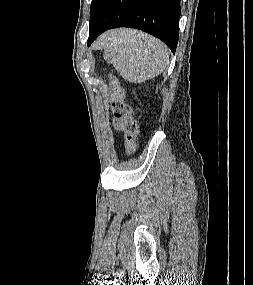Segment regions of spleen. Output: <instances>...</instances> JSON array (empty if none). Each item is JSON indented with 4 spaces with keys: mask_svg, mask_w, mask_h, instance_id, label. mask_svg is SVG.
Segmentation results:
<instances>
[{
    "mask_svg": "<svg viewBox=\"0 0 253 285\" xmlns=\"http://www.w3.org/2000/svg\"><path fill=\"white\" fill-rule=\"evenodd\" d=\"M103 44L104 59L131 83H142L157 76L169 61L168 47L142 31L117 30Z\"/></svg>",
    "mask_w": 253,
    "mask_h": 285,
    "instance_id": "1",
    "label": "spleen"
}]
</instances>
